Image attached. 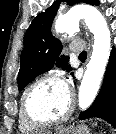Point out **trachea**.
I'll use <instances>...</instances> for the list:
<instances>
[{
  "label": "trachea",
  "instance_id": "obj_1",
  "mask_svg": "<svg viewBox=\"0 0 116 134\" xmlns=\"http://www.w3.org/2000/svg\"><path fill=\"white\" fill-rule=\"evenodd\" d=\"M79 57H87V52L86 51L81 52Z\"/></svg>",
  "mask_w": 116,
  "mask_h": 134
}]
</instances>
